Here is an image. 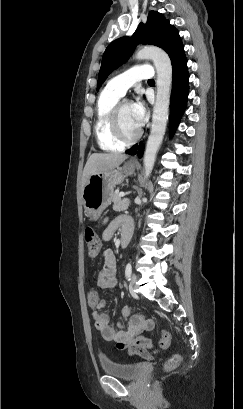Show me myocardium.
I'll return each instance as SVG.
<instances>
[{"instance_id": "f54148a6", "label": "myocardium", "mask_w": 243, "mask_h": 409, "mask_svg": "<svg viewBox=\"0 0 243 409\" xmlns=\"http://www.w3.org/2000/svg\"><path fill=\"white\" fill-rule=\"evenodd\" d=\"M130 104L128 100H120L114 106L110 116V129L115 139L122 144H131L136 142L141 136V130L138 129L133 135L127 136L120 124V112L125 104Z\"/></svg>"}]
</instances>
